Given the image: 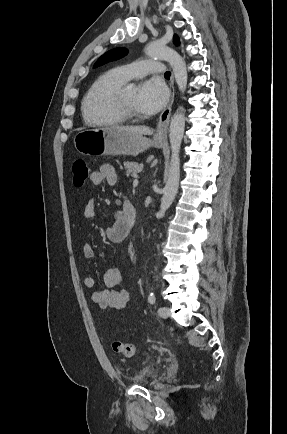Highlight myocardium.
<instances>
[{
    "label": "myocardium",
    "instance_id": "f54148a6",
    "mask_svg": "<svg viewBox=\"0 0 287 434\" xmlns=\"http://www.w3.org/2000/svg\"><path fill=\"white\" fill-rule=\"evenodd\" d=\"M124 88L125 86L122 85L115 91L112 99L113 107L118 112V114L124 119H140L142 117L140 112L134 111L125 103L122 96V92Z\"/></svg>",
    "mask_w": 287,
    "mask_h": 434
}]
</instances>
